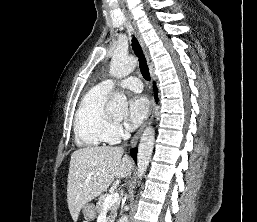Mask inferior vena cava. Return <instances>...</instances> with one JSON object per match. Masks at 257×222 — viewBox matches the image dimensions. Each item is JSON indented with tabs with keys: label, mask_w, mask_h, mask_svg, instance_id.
<instances>
[{
	"label": "inferior vena cava",
	"mask_w": 257,
	"mask_h": 222,
	"mask_svg": "<svg viewBox=\"0 0 257 222\" xmlns=\"http://www.w3.org/2000/svg\"><path fill=\"white\" fill-rule=\"evenodd\" d=\"M122 137L124 140H127L130 137V134L126 131Z\"/></svg>",
	"instance_id": "obj_1"
}]
</instances>
